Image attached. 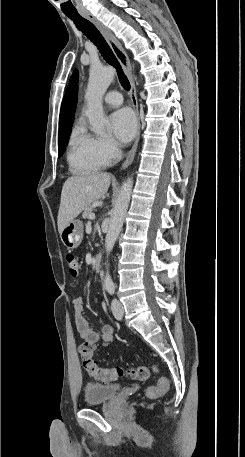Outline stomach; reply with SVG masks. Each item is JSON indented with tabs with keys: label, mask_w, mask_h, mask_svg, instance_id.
Wrapping results in <instances>:
<instances>
[{
	"label": "stomach",
	"mask_w": 245,
	"mask_h": 457,
	"mask_svg": "<svg viewBox=\"0 0 245 457\" xmlns=\"http://www.w3.org/2000/svg\"><path fill=\"white\" fill-rule=\"evenodd\" d=\"M61 241L68 251H73L79 247L83 239V222L79 218L68 222L65 229L60 233Z\"/></svg>",
	"instance_id": "stomach-1"
}]
</instances>
